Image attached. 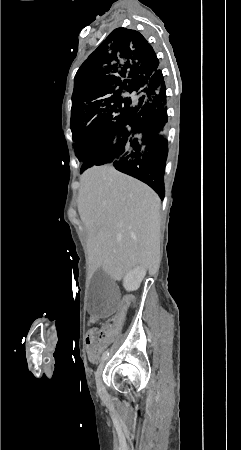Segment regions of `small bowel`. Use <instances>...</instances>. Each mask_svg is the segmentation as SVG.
<instances>
[{"instance_id": "1", "label": "small bowel", "mask_w": 241, "mask_h": 450, "mask_svg": "<svg viewBox=\"0 0 241 450\" xmlns=\"http://www.w3.org/2000/svg\"><path fill=\"white\" fill-rule=\"evenodd\" d=\"M123 305L126 307L128 304L125 302ZM125 315H126L125 312L122 311V310H117L115 312V317L117 319H122V318L125 317ZM113 325H114L115 328L118 329V328L121 327L122 324H121L120 321L117 320V321L114 322ZM97 332H98V335H97L98 340L103 341V340H105L106 336L111 334L112 331L108 327H105V328L101 327V328L98 329ZM93 340H94V334L91 332L88 335V337L86 338V343H87V346L89 347V349H88L89 358L92 361H96L99 358V356H100V354L102 352V348L99 345L98 346H93L92 345Z\"/></svg>"}]
</instances>
